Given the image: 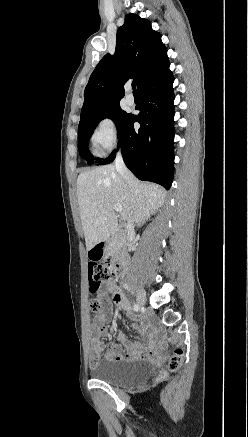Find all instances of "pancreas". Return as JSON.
<instances>
[{
    "label": "pancreas",
    "mask_w": 248,
    "mask_h": 437,
    "mask_svg": "<svg viewBox=\"0 0 248 437\" xmlns=\"http://www.w3.org/2000/svg\"><path fill=\"white\" fill-rule=\"evenodd\" d=\"M109 246L113 249V250H118L120 248V242H111L109 244Z\"/></svg>",
    "instance_id": "obj_1"
}]
</instances>
